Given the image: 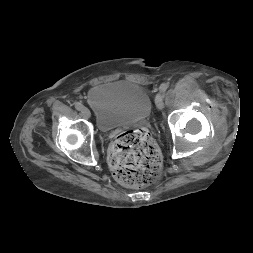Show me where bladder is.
Wrapping results in <instances>:
<instances>
[{
  "mask_svg": "<svg viewBox=\"0 0 253 253\" xmlns=\"http://www.w3.org/2000/svg\"><path fill=\"white\" fill-rule=\"evenodd\" d=\"M88 103L103 130L143 120L152 110L146 89L130 81L108 82L92 88Z\"/></svg>",
  "mask_w": 253,
  "mask_h": 253,
  "instance_id": "bladder-1",
  "label": "bladder"
}]
</instances>
